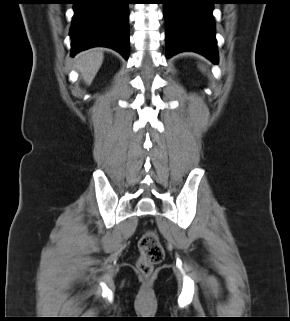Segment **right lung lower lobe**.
<instances>
[{"instance_id":"1","label":"right lung lower lobe","mask_w":290,"mask_h":321,"mask_svg":"<svg viewBox=\"0 0 290 321\" xmlns=\"http://www.w3.org/2000/svg\"><path fill=\"white\" fill-rule=\"evenodd\" d=\"M73 4L71 55L88 48L105 46L128 59V1L74 0Z\"/></svg>"}]
</instances>
